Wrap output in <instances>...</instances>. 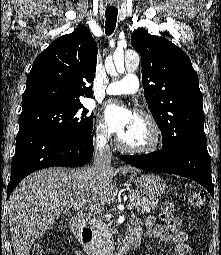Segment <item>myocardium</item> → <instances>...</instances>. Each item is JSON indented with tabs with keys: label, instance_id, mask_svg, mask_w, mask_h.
I'll return each instance as SVG.
<instances>
[{
	"label": "myocardium",
	"instance_id": "1",
	"mask_svg": "<svg viewBox=\"0 0 221 255\" xmlns=\"http://www.w3.org/2000/svg\"><path fill=\"white\" fill-rule=\"evenodd\" d=\"M134 114L143 119L149 125L152 133L151 141L143 146H131L122 142L118 136L116 137L117 146L121 150L131 154H150L157 151L162 143V132L159 124L151 114L145 111L136 110Z\"/></svg>",
	"mask_w": 221,
	"mask_h": 255
}]
</instances>
